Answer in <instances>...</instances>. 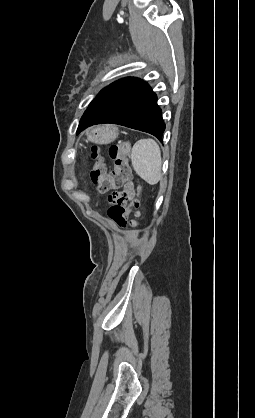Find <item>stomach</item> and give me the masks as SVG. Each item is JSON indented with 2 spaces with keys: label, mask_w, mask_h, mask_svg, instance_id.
Masks as SVG:
<instances>
[{
  "label": "stomach",
  "mask_w": 255,
  "mask_h": 418,
  "mask_svg": "<svg viewBox=\"0 0 255 418\" xmlns=\"http://www.w3.org/2000/svg\"><path fill=\"white\" fill-rule=\"evenodd\" d=\"M117 130L111 126H101L88 133V140L98 144H107L115 140Z\"/></svg>",
  "instance_id": "0dacf381"
}]
</instances>
